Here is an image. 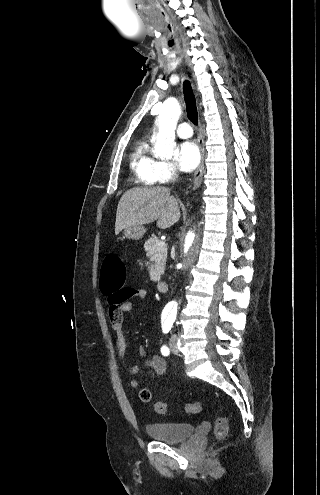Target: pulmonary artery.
I'll return each mask as SVG.
<instances>
[{"mask_svg": "<svg viewBox=\"0 0 320 495\" xmlns=\"http://www.w3.org/2000/svg\"><path fill=\"white\" fill-rule=\"evenodd\" d=\"M177 134L181 138H189L192 136V128L187 122L180 123L177 127Z\"/></svg>", "mask_w": 320, "mask_h": 495, "instance_id": "1", "label": "pulmonary artery"}]
</instances>
